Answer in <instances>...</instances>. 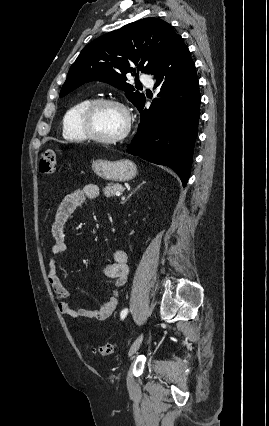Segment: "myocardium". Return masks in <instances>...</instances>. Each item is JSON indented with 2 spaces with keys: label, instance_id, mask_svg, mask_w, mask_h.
I'll return each mask as SVG.
<instances>
[{
  "label": "myocardium",
  "instance_id": "1",
  "mask_svg": "<svg viewBox=\"0 0 269 426\" xmlns=\"http://www.w3.org/2000/svg\"><path fill=\"white\" fill-rule=\"evenodd\" d=\"M105 105L119 108L125 116V126L123 130L118 135L111 138H105L97 135L91 126V119L95 110ZM81 126L88 139L101 144L112 145L123 141L129 135L132 127V118L128 108L122 102L116 99L98 98L92 100L84 109L81 116Z\"/></svg>",
  "mask_w": 269,
  "mask_h": 426
}]
</instances>
